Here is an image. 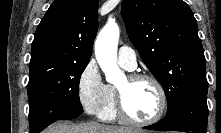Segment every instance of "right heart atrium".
<instances>
[{
	"label": "right heart atrium",
	"mask_w": 221,
	"mask_h": 133,
	"mask_svg": "<svg viewBox=\"0 0 221 133\" xmlns=\"http://www.w3.org/2000/svg\"><path fill=\"white\" fill-rule=\"evenodd\" d=\"M77 96L83 110L98 115L107 99L104 83L96 61L90 60L82 69L77 82Z\"/></svg>",
	"instance_id": "right-heart-atrium-1"
}]
</instances>
